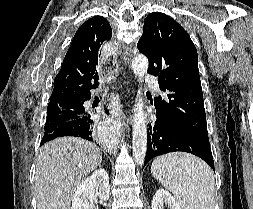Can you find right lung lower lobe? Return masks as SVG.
Instances as JSON below:
<instances>
[{
  "label": "right lung lower lobe",
  "instance_id": "right-lung-lower-lobe-1",
  "mask_svg": "<svg viewBox=\"0 0 253 209\" xmlns=\"http://www.w3.org/2000/svg\"><path fill=\"white\" fill-rule=\"evenodd\" d=\"M90 98L91 95H88L87 97L79 101L65 105L67 107H72L75 110L81 109L84 111V113L80 118L67 121L55 128L45 130L41 145L57 137L63 136L81 137L89 141H93L94 139H96L98 136L96 128L94 126V121L91 119L90 115L85 114V110L83 107V103L87 100H90ZM61 107L62 106L53 104L47 109H59Z\"/></svg>",
  "mask_w": 253,
  "mask_h": 209
}]
</instances>
